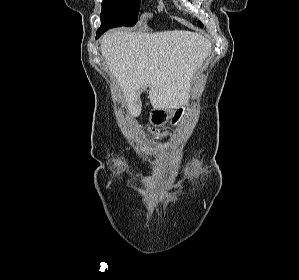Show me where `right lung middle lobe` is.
I'll return each mask as SVG.
<instances>
[{
	"mask_svg": "<svg viewBox=\"0 0 299 280\" xmlns=\"http://www.w3.org/2000/svg\"><path fill=\"white\" fill-rule=\"evenodd\" d=\"M140 0H103L101 19L113 27L133 26L137 22Z\"/></svg>",
	"mask_w": 299,
	"mask_h": 280,
	"instance_id": "right-lung-middle-lobe-1",
	"label": "right lung middle lobe"
}]
</instances>
